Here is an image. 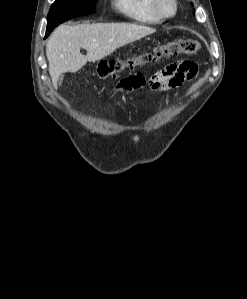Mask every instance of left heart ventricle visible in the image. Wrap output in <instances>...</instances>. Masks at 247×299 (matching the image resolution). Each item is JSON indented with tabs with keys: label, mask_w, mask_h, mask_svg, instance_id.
<instances>
[{
	"label": "left heart ventricle",
	"mask_w": 247,
	"mask_h": 299,
	"mask_svg": "<svg viewBox=\"0 0 247 299\" xmlns=\"http://www.w3.org/2000/svg\"><path fill=\"white\" fill-rule=\"evenodd\" d=\"M164 9H165V11L170 12L172 10V7L170 4L166 3V4H164Z\"/></svg>",
	"instance_id": "b2bd125f"
}]
</instances>
